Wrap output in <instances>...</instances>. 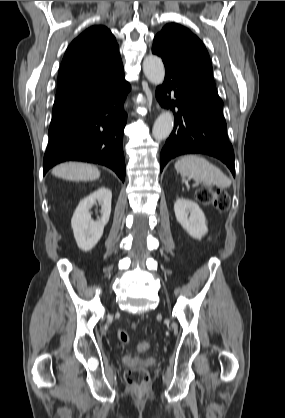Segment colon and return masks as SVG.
<instances>
[{
  "label": "colon",
  "instance_id": "obj_1",
  "mask_svg": "<svg viewBox=\"0 0 285 418\" xmlns=\"http://www.w3.org/2000/svg\"><path fill=\"white\" fill-rule=\"evenodd\" d=\"M197 200L201 204L212 206L221 212L226 211L230 203V197L225 190L214 188L200 190L197 193ZM117 337L122 343H128L130 340L129 333L124 328L117 331ZM136 349L140 353L146 352L149 350V344L146 341L138 342ZM125 377L127 383L133 387H145L149 381V374L144 368L130 369L126 372Z\"/></svg>",
  "mask_w": 285,
  "mask_h": 418
}]
</instances>
